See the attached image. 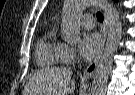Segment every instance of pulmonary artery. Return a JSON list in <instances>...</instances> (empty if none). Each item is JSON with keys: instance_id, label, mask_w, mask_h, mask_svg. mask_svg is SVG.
Wrapping results in <instances>:
<instances>
[{"instance_id": "pulmonary-artery-1", "label": "pulmonary artery", "mask_w": 135, "mask_h": 95, "mask_svg": "<svg viewBox=\"0 0 135 95\" xmlns=\"http://www.w3.org/2000/svg\"><path fill=\"white\" fill-rule=\"evenodd\" d=\"M80 20L85 28L90 29L93 27V18L90 14H84L81 16Z\"/></svg>"}]
</instances>
